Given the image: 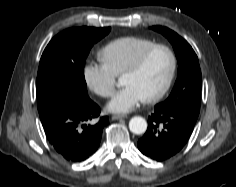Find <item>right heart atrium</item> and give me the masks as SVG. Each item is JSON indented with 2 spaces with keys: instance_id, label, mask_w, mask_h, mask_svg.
<instances>
[{
  "instance_id": "right-heart-atrium-1",
  "label": "right heart atrium",
  "mask_w": 236,
  "mask_h": 187,
  "mask_svg": "<svg viewBox=\"0 0 236 187\" xmlns=\"http://www.w3.org/2000/svg\"><path fill=\"white\" fill-rule=\"evenodd\" d=\"M83 79L87 87L100 97H110L114 92L115 75L103 64H86L83 68Z\"/></svg>"
}]
</instances>
